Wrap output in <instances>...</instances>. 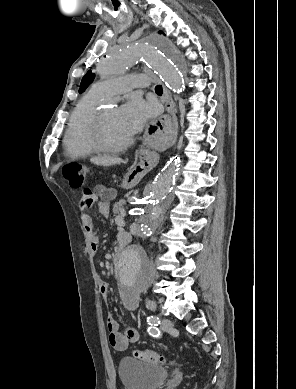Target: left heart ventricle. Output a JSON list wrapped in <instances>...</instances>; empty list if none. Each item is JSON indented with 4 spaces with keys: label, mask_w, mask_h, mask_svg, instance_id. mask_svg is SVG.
I'll return each instance as SVG.
<instances>
[{
    "label": "left heart ventricle",
    "mask_w": 296,
    "mask_h": 389,
    "mask_svg": "<svg viewBox=\"0 0 296 389\" xmlns=\"http://www.w3.org/2000/svg\"><path fill=\"white\" fill-rule=\"evenodd\" d=\"M104 115V137L107 143L111 145H118L125 142L131 136H129L123 129L119 117L118 110L107 109L103 111Z\"/></svg>",
    "instance_id": "1"
}]
</instances>
